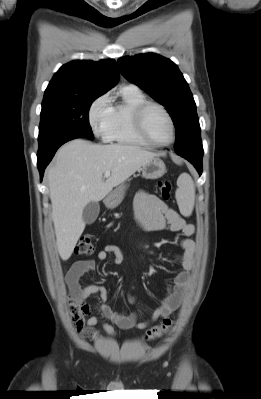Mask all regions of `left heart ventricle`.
Masks as SVG:
<instances>
[{"instance_id": "obj_1", "label": "left heart ventricle", "mask_w": 261, "mask_h": 399, "mask_svg": "<svg viewBox=\"0 0 261 399\" xmlns=\"http://www.w3.org/2000/svg\"><path fill=\"white\" fill-rule=\"evenodd\" d=\"M145 127L150 138L156 142L165 143L171 138L169 121L158 108H151L147 111Z\"/></svg>"}]
</instances>
